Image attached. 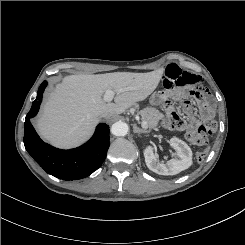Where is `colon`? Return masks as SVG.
I'll return each mask as SVG.
<instances>
[{"instance_id": "colon-1", "label": "colon", "mask_w": 245, "mask_h": 245, "mask_svg": "<svg viewBox=\"0 0 245 245\" xmlns=\"http://www.w3.org/2000/svg\"><path fill=\"white\" fill-rule=\"evenodd\" d=\"M165 108L169 114L170 127L173 130L178 131L185 129L186 123L184 119L175 112L172 102L167 101L165 103ZM216 129V122L212 119H206L196 130L187 133V139L200 147L196 154L199 161H203L206 158L208 150L205 146L209 141V137L216 131Z\"/></svg>"}]
</instances>
